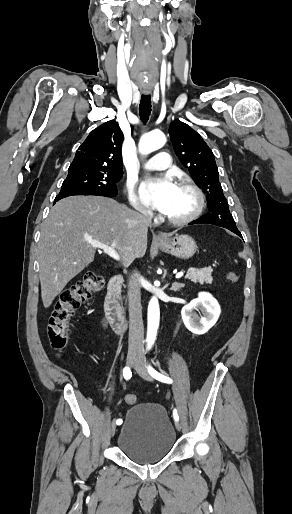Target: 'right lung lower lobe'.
<instances>
[{
  "label": "right lung lower lobe",
  "mask_w": 292,
  "mask_h": 514,
  "mask_svg": "<svg viewBox=\"0 0 292 514\" xmlns=\"http://www.w3.org/2000/svg\"><path fill=\"white\" fill-rule=\"evenodd\" d=\"M103 196H107V197H114V196H108V195H103ZM66 197H68V196H66ZM62 198H65V197H62ZM62 198H58V199H55V200H56V201H59V200H60V199H62ZM54 204H55V202H54Z\"/></svg>",
  "instance_id": "1"
}]
</instances>
